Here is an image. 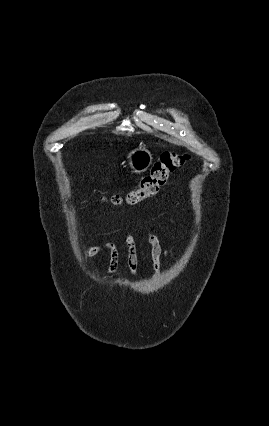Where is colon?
I'll return each mask as SVG.
<instances>
[{
    "label": "colon",
    "mask_w": 269,
    "mask_h": 426,
    "mask_svg": "<svg viewBox=\"0 0 269 426\" xmlns=\"http://www.w3.org/2000/svg\"><path fill=\"white\" fill-rule=\"evenodd\" d=\"M188 155L174 151L164 152L155 161L147 175L143 176L138 186L129 190L124 196L114 198L116 203L136 205L142 200L154 196L162 188L168 177L182 166Z\"/></svg>",
    "instance_id": "1"
}]
</instances>
